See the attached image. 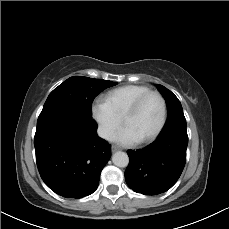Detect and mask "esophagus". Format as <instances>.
I'll use <instances>...</instances> for the list:
<instances>
[{"label": "esophagus", "instance_id": "34e87169", "mask_svg": "<svg viewBox=\"0 0 229 229\" xmlns=\"http://www.w3.org/2000/svg\"><path fill=\"white\" fill-rule=\"evenodd\" d=\"M111 150H112V152H116V151L120 150V148L117 146H112Z\"/></svg>", "mask_w": 229, "mask_h": 229}]
</instances>
